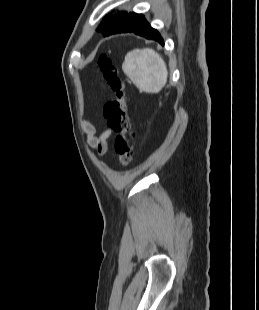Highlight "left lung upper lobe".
Returning <instances> with one entry per match:
<instances>
[{"label":"left lung upper lobe","instance_id":"obj_1","mask_svg":"<svg viewBox=\"0 0 259 310\" xmlns=\"http://www.w3.org/2000/svg\"><path fill=\"white\" fill-rule=\"evenodd\" d=\"M126 15V12H119L118 14H111L108 17H105V19L98 26L97 30L102 32L104 36L109 35Z\"/></svg>","mask_w":259,"mask_h":310}]
</instances>
